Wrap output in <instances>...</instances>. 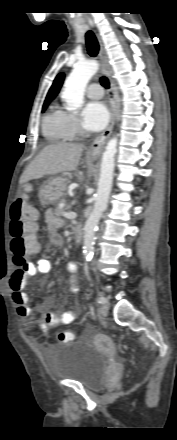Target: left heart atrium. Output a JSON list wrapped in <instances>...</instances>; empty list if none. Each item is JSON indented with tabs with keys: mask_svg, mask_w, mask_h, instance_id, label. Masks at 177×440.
<instances>
[{
	"mask_svg": "<svg viewBox=\"0 0 177 440\" xmlns=\"http://www.w3.org/2000/svg\"><path fill=\"white\" fill-rule=\"evenodd\" d=\"M109 119V112L104 103L93 101L85 105L81 113L83 127L92 132L102 130Z\"/></svg>",
	"mask_w": 177,
	"mask_h": 440,
	"instance_id": "left-heart-atrium-1",
	"label": "left heart atrium"
}]
</instances>
